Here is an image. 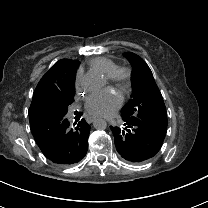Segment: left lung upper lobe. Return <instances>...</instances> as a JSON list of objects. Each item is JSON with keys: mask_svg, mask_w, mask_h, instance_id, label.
Segmentation results:
<instances>
[{"mask_svg": "<svg viewBox=\"0 0 208 208\" xmlns=\"http://www.w3.org/2000/svg\"><path fill=\"white\" fill-rule=\"evenodd\" d=\"M124 56L132 64L134 73L133 93L129 102L121 110L122 116L142 120L166 132L165 104L149 66L132 52H127Z\"/></svg>", "mask_w": 208, "mask_h": 208, "instance_id": "obj_1", "label": "left lung upper lobe"}]
</instances>
